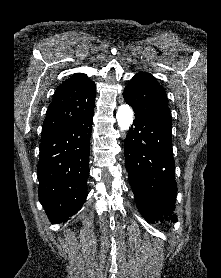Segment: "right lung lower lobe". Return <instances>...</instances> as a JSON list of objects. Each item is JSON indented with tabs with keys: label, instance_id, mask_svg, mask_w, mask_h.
I'll use <instances>...</instances> for the list:
<instances>
[{
	"label": "right lung lower lobe",
	"instance_id": "1",
	"mask_svg": "<svg viewBox=\"0 0 221 278\" xmlns=\"http://www.w3.org/2000/svg\"><path fill=\"white\" fill-rule=\"evenodd\" d=\"M93 113L94 108L39 145V201L54 224L67 221L87 197Z\"/></svg>",
	"mask_w": 221,
	"mask_h": 278
}]
</instances>
